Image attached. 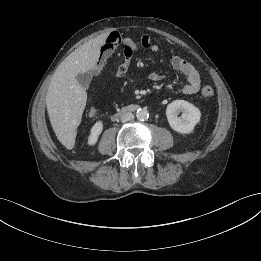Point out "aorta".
Listing matches in <instances>:
<instances>
[{"mask_svg":"<svg viewBox=\"0 0 261 261\" xmlns=\"http://www.w3.org/2000/svg\"><path fill=\"white\" fill-rule=\"evenodd\" d=\"M136 117H137V119L144 121V120L148 119L149 113H148L147 109L140 108L136 112Z\"/></svg>","mask_w":261,"mask_h":261,"instance_id":"aorta-1","label":"aorta"}]
</instances>
